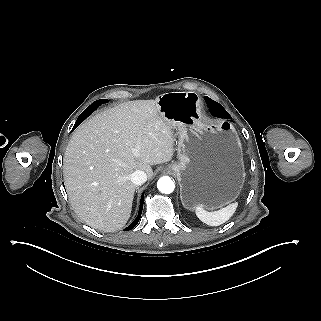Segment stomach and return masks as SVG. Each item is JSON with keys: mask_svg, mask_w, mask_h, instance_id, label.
I'll use <instances>...</instances> for the list:
<instances>
[{"mask_svg": "<svg viewBox=\"0 0 321 321\" xmlns=\"http://www.w3.org/2000/svg\"><path fill=\"white\" fill-rule=\"evenodd\" d=\"M157 104L168 120L182 124L178 161L165 167L176 175L182 206L216 210L233 202L245 182L241 140L228 121L201 127L200 97L193 92L166 93Z\"/></svg>", "mask_w": 321, "mask_h": 321, "instance_id": "stomach-1", "label": "stomach"}]
</instances>
